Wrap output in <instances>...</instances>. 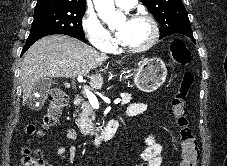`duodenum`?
<instances>
[{"label": "duodenum", "mask_w": 227, "mask_h": 166, "mask_svg": "<svg viewBox=\"0 0 227 166\" xmlns=\"http://www.w3.org/2000/svg\"><path fill=\"white\" fill-rule=\"evenodd\" d=\"M83 100H84L83 97L77 96V97L74 98L73 104L75 106H79V105L82 104ZM117 127H118L117 120L116 119H110L108 121L106 127L102 130L101 134L92 141V145L97 147V146H100V144L102 142L110 140L114 136V134L117 130Z\"/></svg>", "instance_id": "duodenum-1"}]
</instances>
